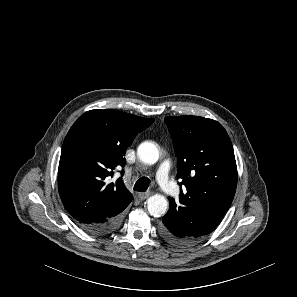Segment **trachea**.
<instances>
[{"label": "trachea", "instance_id": "obj_1", "mask_svg": "<svg viewBox=\"0 0 297 297\" xmlns=\"http://www.w3.org/2000/svg\"><path fill=\"white\" fill-rule=\"evenodd\" d=\"M149 187V179L146 177H142L135 183L134 189L136 191H146Z\"/></svg>", "mask_w": 297, "mask_h": 297}]
</instances>
